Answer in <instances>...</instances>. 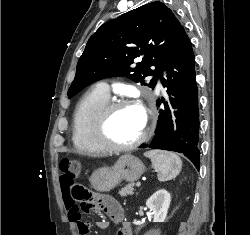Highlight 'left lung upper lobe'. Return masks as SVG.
<instances>
[{
    "label": "left lung upper lobe",
    "mask_w": 250,
    "mask_h": 235,
    "mask_svg": "<svg viewBox=\"0 0 250 235\" xmlns=\"http://www.w3.org/2000/svg\"><path fill=\"white\" fill-rule=\"evenodd\" d=\"M183 27L161 2H152L104 23L88 40L77 64L68 97L106 77L127 76L154 88L158 76ZM140 59L137 66L134 60ZM155 66L156 70H151Z\"/></svg>",
    "instance_id": "obj_1"
}]
</instances>
